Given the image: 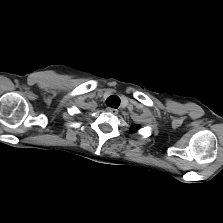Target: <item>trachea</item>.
<instances>
[{
	"instance_id": "3493384b",
	"label": "trachea",
	"mask_w": 223,
	"mask_h": 223,
	"mask_svg": "<svg viewBox=\"0 0 223 223\" xmlns=\"http://www.w3.org/2000/svg\"><path fill=\"white\" fill-rule=\"evenodd\" d=\"M106 104L112 108H118L120 105V98L116 95H111L107 98Z\"/></svg>"
}]
</instances>
